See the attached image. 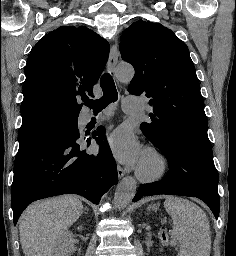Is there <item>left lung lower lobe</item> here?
I'll use <instances>...</instances> for the list:
<instances>
[{
    "mask_svg": "<svg viewBox=\"0 0 236 256\" xmlns=\"http://www.w3.org/2000/svg\"><path fill=\"white\" fill-rule=\"evenodd\" d=\"M161 152L169 163L167 175L160 182L143 184L133 201L158 194L197 197L218 218V172L214 166L212 148L184 143L173 145Z\"/></svg>",
    "mask_w": 236,
    "mask_h": 256,
    "instance_id": "1",
    "label": "left lung lower lobe"
}]
</instances>
